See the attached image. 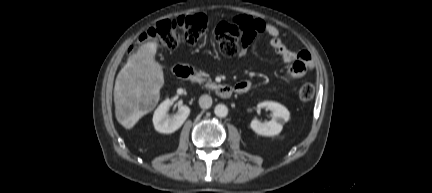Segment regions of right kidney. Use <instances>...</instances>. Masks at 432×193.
<instances>
[{"label": "right kidney", "instance_id": "1", "mask_svg": "<svg viewBox=\"0 0 432 193\" xmlns=\"http://www.w3.org/2000/svg\"><path fill=\"white\" fill-rule=\"evenodd\" d=\"M171 105L172 102L166 99L154 112L153 124L155 129L160 133L169 134L175 132L183 125L190 114L188 106L180 105L178 106L177 113L173 116H169L168 110Z\"/></svg>", "mask_w": 432, "mask_h": 193}]
</instances>
